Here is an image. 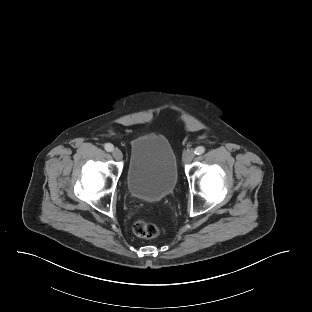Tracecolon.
Segmentation results:
<instances>
[{"label":"colon","mask_w":312,"mask_h":312,"mask_svg":"<svg viewBox=\"0 0 312 312\" xmlns=\"http://www.w3.org/2000/svg\"><path fill=\"white\" fill-rule=\"evenodd\" d=\"M133 233L140 238L153 239L160 234V228L156 224L138 220L133 225Z\"/></svg>","instance_id":"1"}]
</instances>
